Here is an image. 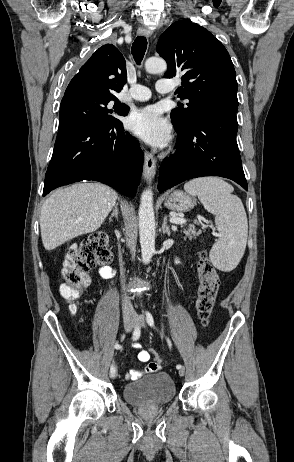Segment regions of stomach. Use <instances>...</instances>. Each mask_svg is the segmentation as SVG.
I'll list each match as a JSON object with an SVG mask.
<instances>
[{
  "instance_id": "obj_1",
  "label": "stomach",
  "mask_w": 294,
  "mask_h": 462,
  "mask_svg": "<svg viewBox=\"0 0 294 462\" xmlns=\"http://www.w3.org/2000/svg\"><path fill=\"white\" fill-rule=\"evenodd\" d=\"M196 204L193 196L181 191H174L165 201V206L171 210L186 212L191 210Z\"/></svg>"
}]
</instances>
